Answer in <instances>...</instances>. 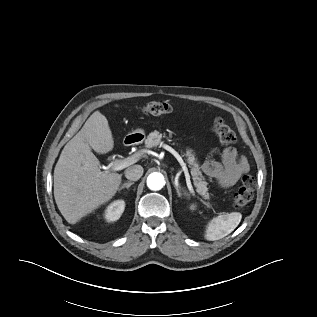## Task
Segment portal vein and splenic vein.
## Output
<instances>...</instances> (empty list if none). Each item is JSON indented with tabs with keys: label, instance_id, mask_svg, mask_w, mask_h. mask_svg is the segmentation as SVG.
Segmentation results:
<instances>
[{
	"label": "portal vein and splenic vein",
	"instance_id": "1",
	"mask_svg": "<svg viewBox=\"0 0 317 317\" xmlns=\"http://www.w3.org/2000/svg\"><path fill=\"white\" fill-rule=\"evenodd\" d=\"M161 146L169 151L170 153H172L174 155V157L178 160V162L180 163V165L182 166L183 168V171H184V174H185V178H186V182H187V185H188V188L190 190H192L191 188V181H190V174L188 172V168L186 166V163L183 161L182 157L179 155V153L177 151H175L172 147H170L169 145H166V144H161ZM141 154L140 152H137L136 154L124 159V160H116L114 162V164L112 165V169L114 171H120V170H123L124 168L136 163L140 157H141ZM195 178H193L194 180ZM209 208H211L214 212L215 210L210 206V205H207Z\"/></svg>",
	"mask_w": 317,
	"mask_h": 317
}]
</instances>
